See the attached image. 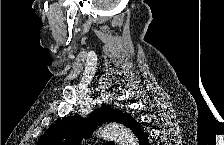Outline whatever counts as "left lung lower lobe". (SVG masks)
Instances as JSON below:
<instances>
[{"mask_svg": "<svg viewBox=\"0 0 224 145\" xmlns=\"http://www.w3.org/2000/svg\"><path fill=\"white\" fill-rule=\"evenodd\" d=\"M130 129L135 133L141 145H149L148 136L143 131L140 123H138L135 119L133 120Z\"/></svg>", "mask_w": 224, "mask_h": 145, "instance_id": "0a47b994", "label": "left lung lower lobe"}]
</instances>
